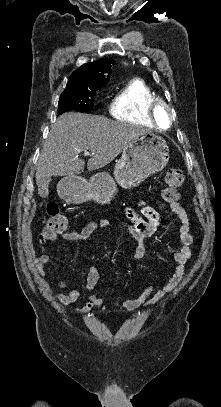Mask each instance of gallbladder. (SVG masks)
<instances>
[{
  "label": "gallbladder",
  "instance_id": "bac80fb5",
  "mask_svg": "<svg viewBox=\"0 0 221 407\" xmlns=\"http://www.w3.org/2000/svg\"><path fill=\"white\" fill-rule=\"evenodd\" d=\"M51 178L50 177H44L42 180L38 182V191L39 194L45 195L49 186Z\"/></svg>",
  "mask_w": 221,
  "mask_h": 407
}]
</instances>
